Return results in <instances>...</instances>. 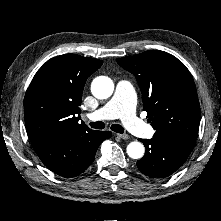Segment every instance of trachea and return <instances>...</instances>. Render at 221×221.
Instances as JSON below:
<instances>
[{"mask_svg": "<svg viewBox=\"0 0 221 221\" xmlns=\"http://www.w3.org/2000/svg\"><path fill=\"white\" fill-rule=\"evenodd\" d=\"M90 126H91V128H94V129H103V128H105V124L101 121L91 122ZM111 130L114 131V132H117V133H124V128L119 124H113L111 126Z\"/></svg>", "mask_w": 221, "mask_h": 221, "instance_id": "trachea-1", "label": "trachea"}]
</instances>
